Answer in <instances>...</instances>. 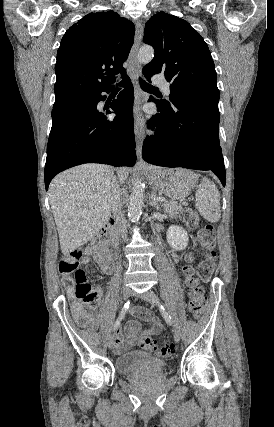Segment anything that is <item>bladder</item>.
<instances>
[{
	"label": "bladder",
	"instance_id": "1",
	"mask_svg": "<svg viewBox=\"0 0 274 427\" xmlns=\"http://www.w3.org/2000/svg\"><path fill=\"white\" fill-rule=\"evenodd\" d=\"M167 363L160 360L148 352L134 350L125 352L121 356H116V367L122 374L133 373L134 371H147L155 375L165 374Z\"/></svg>",
	"mask_w": 274,
	"mask_h": 427
}]
</instances>
